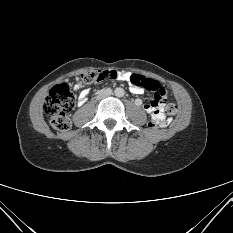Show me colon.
<instances>
[{
  "label": "colon",
  "instance_id": "5ec220e1",
  "mask_svg": "<svg viewBox=\"0 0 233 233\" xmlns=\"http://www.w3.org/2000/svg\"><path fill=\"white\" fill-rule=\"evenodd\" d=\"M104 71H88L81 76V83L91 85L102 81L99 75ZM129 82L132 86L146 89L154 93V104L164 102V114L174 115L177 107L174 103L165 104V91L155 80L145 78L138 74H132ZM75 99L67 84L55 85L49 92L44 102V111L49 118L51 127L56 131H66L70 128L71 122L68 113L74 108ZM162 120L155 114L149 123V127L162 126Z\"/></svg>",
  "mask_w": 233,
  "mask_h": 233
}]
</instances>
